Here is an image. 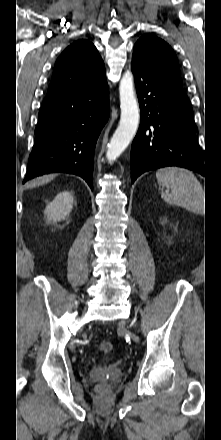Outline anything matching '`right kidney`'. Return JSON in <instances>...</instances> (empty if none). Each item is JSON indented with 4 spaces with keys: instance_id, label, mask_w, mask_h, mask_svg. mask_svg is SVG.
Masks as SVG:
<instances>
[{
    "instance_id": "right-kidney-1",
    "label": "right kidney",
    "mask_w": 221,
    "mask_h": 440,
    "mask_svg": "<svg viewBox=\"0 0 221 440\" xmlns=\"http://www.w3.org/2000/svg\"><path fill=\"white\" fill-rule=\"evenodd\" d=\"M73 208V196L70 192L59 193L52 202H50L44 211L47 221H60L65 219Z\"/></svg>"
}]
</instances>
